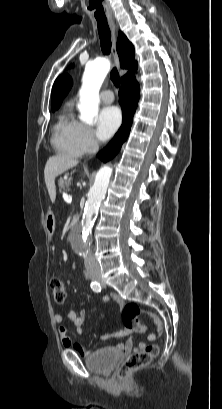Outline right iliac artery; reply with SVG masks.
<instances>
[{
	"mask_svg": "<svg viewBox=\"0 0 222 409\" xmlns=\"http://www.w3.org/2000/svg\"><path fill=\"white\" fill-rule=\"evenodd\" d=\"M90 287L94 292H100L101 291V285L96 281L92 282Z\"/></svg>",
	"mask_w": 222,
	"mask_h": 409,
	"instance_id": "82829eb1",
	"label": "right iliac artery"
}]
</instances>
